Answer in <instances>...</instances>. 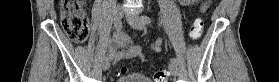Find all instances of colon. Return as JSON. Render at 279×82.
<instances>
[{"mask_svg": "<svg viewBox=\"0 0 279 82\" xmlns=\"http://www.w3.org/2000/svg\"><path fill=\"white\" fill-rule=\"evenodd\" d=\"M60 8L61 23L67 36L75 43H83L89 33V24L85 16L83 0H58ZM210 1H205L206 6ZM204 22L202 19H195L191 26L189 35L193 40H198L203 32ZM128 73V69L125 66H121L117 69L116 74L118 76ZM154 82H167L168 74L165 70H158L154 73Z\"/></svg>", "mask_w": 279, "mask_h": 82, "instance_id": "colon-1", "label": "colon"}]
</instances>
